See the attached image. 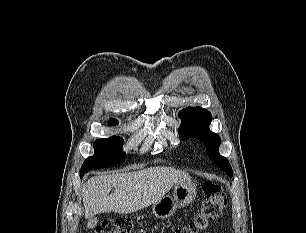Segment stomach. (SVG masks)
<instances>
[{"mask_svg":"<svg viewBox=\"0 0 306 233\" xmlns=\"http://www.w3.org/2000/svg\"><path fill=\"white\" fill-rule=\"evenodd\" d=\"M196 186L192 181H180L175 184L173 196L165 195L152 206L153 215L160 219L171 217L178 208L193 202Z\"/></svg>","mask_w":306,"mask_h":233,"instance_id":"0dacf381","label":"stomach"}]
</instances>
